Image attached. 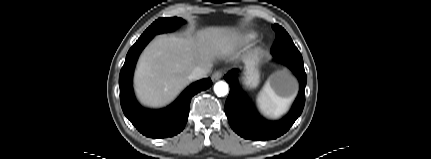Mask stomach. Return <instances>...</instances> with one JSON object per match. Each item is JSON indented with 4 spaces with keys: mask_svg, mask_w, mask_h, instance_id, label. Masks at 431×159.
Wrapping results in <instances>:
<instances>
[{
    "mask_svg": "<svg viewBox=\"0 0 431 159\" xmlns=\"http://www.w3.org/2000/svg\"><path fill=\"white\" fill-rule=\"evenodd\" d=\"M246 73L244 83L247 87L254 88L259 83V73L256 69V58L246 59ZM272 89L282 97H292L297 91V82L290 75L284 72L273 74L268 80Z\"/></svg>",
    "mask_w": 431,
    "mask_h": 159,
    "instance_id": "0dacf381",
    "label": "stomach"
}]
</instances>
